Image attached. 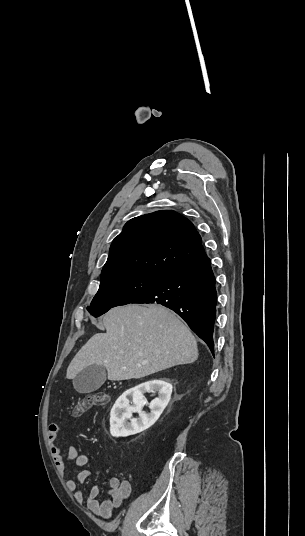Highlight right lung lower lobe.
<instances>
[{
	"label": "right lung lower lobe",
	"mask_w": 305,
	"mask_h": 536,
	"mask_svg": "<svg viewBox=\"0 0 305 536\" xmlns=\"http://www.w3.org/2000/svg\"><path fill=\"white\" fill-rule=\"evenodd\" d=\"M217 293L210 259L186 265L133 303H158L181 316L214 353L213 330Z\"/></svg>",
	"instance_id": "right-lung-lower-lobe-1"
}]
</instances>
